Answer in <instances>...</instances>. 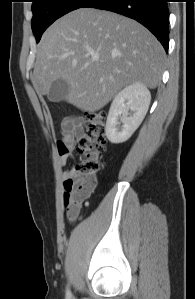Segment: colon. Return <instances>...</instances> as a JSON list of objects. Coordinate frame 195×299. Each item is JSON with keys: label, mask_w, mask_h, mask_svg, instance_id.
I'll return each instance as SVG.
<instances>
[{"label": "colon", "mask_w": 195, "mask_h": 299, "mask_svg": "<svg viewBox=\"0 0 195 299\" xmlns=\"http://www.w3.org/2000/svg\"><path fill=\"white\" fill-rule=\"evenodd\" d=\"M105 114L91 112L84 126V132L77 143L79 162L75 176L65 192V210L69 216H77L93 189L97 173L101 169L100 155L105 150Z\"/></svg>", "instance_id": "1"}]
</instances>
